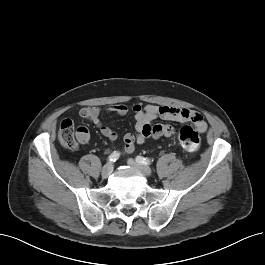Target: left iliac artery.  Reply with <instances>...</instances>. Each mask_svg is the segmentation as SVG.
Returning <instances> with one entry per match:
<instances>
[{"label": "left iliac artery", "instance_id": "left-iliac-artery-1", "mask_svg": "<svg viewBox=\"0 0 265 265\" xmlns=\"http://www.w3.org/2000/svg\"><path fill=\"white\" fill-rule=\"evenodd\" d=\"M136 161L139 163V164H142V165H150L151 164V160L148 159V158H144L142 156H137L136 157Z\"/></svg>", "mask_w": 265, "mask_h": 265}]
</instances>
